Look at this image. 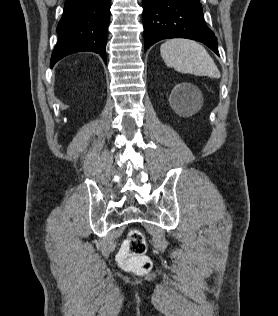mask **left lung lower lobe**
<instances>
[{"label": "left lung lower lobe", "instance_id": "0a47b994", "mask_svg": "<svg viewBox=\"0 0 278 316\" xmlns=\"http://www.w3.org/2000/svg\"><path fill=\"white\" fill-rule=\"evenodd\" d=\"M144 48L169 38L197 40L217 55L214 33L204 21L198 0H143Z\"/></svg>", "mask_w": 278, "mask_h": 316}]
</instances>
